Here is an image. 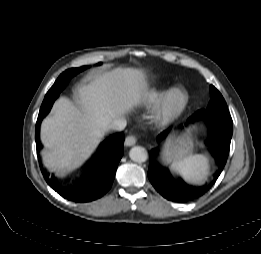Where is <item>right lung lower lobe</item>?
I'll list each match as a JSON object with an SVG mask.
<instances>
[{"mask_svg":"<svg viewBox=\"0 0 261 254\" xmlns=\"http://www.w3.org/2000/svg\"><path fill=\"white\" fill-rule=\"evenodd\" d=\"M59 94L60 92L45 96L41 105L35 130L37 154L41 148V143L39 141V126L41 120L48 114ZM124 138L125 136L123 133H117L102 142L99 147V154L97 155L95 161L90 165L88 170L74 186L67 188L61 187L58 185V180L55 177L49 178V174L45 173L40 164L42 174L46 182L58 194L68 200L87 202L100 198L112 186L118 163L123 156Z\"/></svg>","mask_w":261,"mask_h":254,"instance_id":"98d812e1","label":"right lung lower lobe"}]
</instances>
